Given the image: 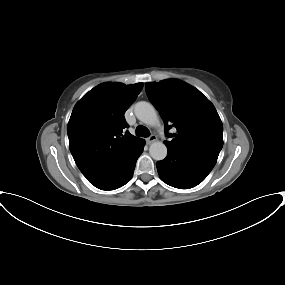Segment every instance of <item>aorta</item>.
Wrapping results in <instances>:
<instances>
[{
	"mask_svg": "<svg viewBox=\"0 0 285 285\" xmlns=\"http://www.w3.org/2000/svg\"><path fill=\"white\" fill-rule=\"evenodd\" d=\"M134 113L138 120L148 126L160 125L158 114L149 102L140 101L136 103ZM149 153L154 160L160 161L167 156V147L163 142L157 141L150 145Z\"/></svg>",
	"mask_w": 285,
	"mask_h": 285,
	"instance_id": "aorta-1",
	"label": "aorta"
}]
</instances>
